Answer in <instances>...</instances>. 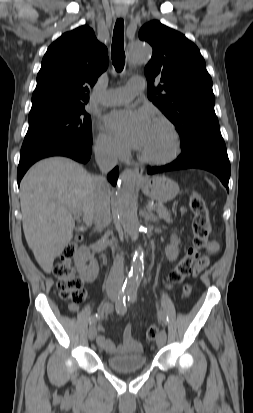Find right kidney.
I'll return each instance as SVG.
<instances>
[{"label": "right kidney", "instance_id": "ca27d5eb", "mask_svg": "<svg viewBox=\"0 0 253 413\" xmlns=\"http://www.w3.org/2000/svg\"><path fill=\"white\" fill-rule=\"evenodd\" d=\"M74 262L82 280L93 282L97 278L99 265L88 248L80 247L74 256Z\"/></svg>", "mask_w": 253, "mask_h": 413}]
</instances>
